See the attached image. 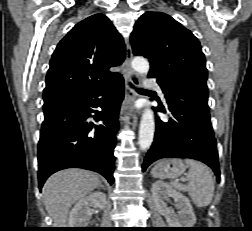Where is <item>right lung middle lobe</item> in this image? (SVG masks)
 <instances>
[{
	"mask_svg": "<svg viewBox=\"0 0 252 231\" xmlns=\"http://www.w3.org/2000/svg\"><path fill=\"white\" fill-rule=\"evenodd\" d=\"M70 99L53 100L49 102H44L43 111L44 114H49L62 106H64Z\"/></svg>",
	"mask_w": 252,
	"mask_h": 231,
	"instance_id": "dd1d6c3e",
	"label": "right lung middle lobe"
}]
</instances>
